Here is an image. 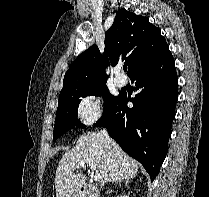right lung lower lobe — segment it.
Here are the masks:
<instances>
[{
	"label": "right lung lower lobe",
	"instance_id": "98d812e1",
	"mask_svg": "<svg viewBox=\"0 0 209 197\" xmlns=\"http://www.w3.org/2000/svg\"><path fill=\"white\" fill-rule=\"evenodd\" d=\"M138 93L130 99L120 93L95 126L109 135L155 179L168 152L171 124L175 118L178 78L168 50L162 57L131 76ZM131 101L133 108H128Z\"/></svg>",
	"mask_w": 209,
	"mask_h": 197
}]
</instances>
